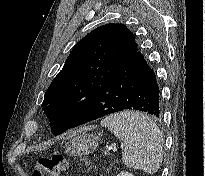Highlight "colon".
Instances as JSON below:
<instances>
[{
    "label": "colon",
    "mask_w": 205,
    "mask_h": 176,
    "mask_svg": "<svg viewBox=\"0 0 205 176\" xmlns=\"http://www.w3.org/2000/svg\"><path fill=\"white\" fill-rule=\"evenodd\" d=\"M68 164L64 156L55 154L49 158L40 159L32 167V176H58L68 167Z\"/></svg>",
    "instance_id": "obj_1"
}]
</instances>
